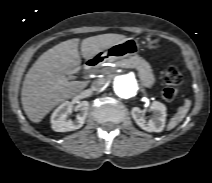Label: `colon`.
<instances>
[{
    "label": "colon",
    "mask_w": 212,
    "mask_h": 183,
    "mask_svg": "<svg viewBox=\"0 0 212 183\" xmlns=\"http://www.w3.org/2000/svg\"><path fill=\"white\" fill-rule=\"evenodd\" d=\"M182 82V75L176 68H169L164 74L165 88L162 96L166 101H172L177 95L176 87Z\"/></svg>",
    "instance_id": "1"
}]
</instances>
